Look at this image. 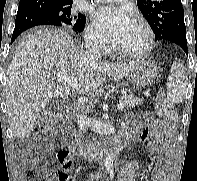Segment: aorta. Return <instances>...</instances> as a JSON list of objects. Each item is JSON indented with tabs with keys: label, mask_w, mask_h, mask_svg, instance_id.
Instances as JSON below:
<instances>
[{
	"label": "aorta",
	"mask_w": 197,
	"mask_h": 181,
	"mask_svg": "<svg viewBox=\"0 0 197 181\" xmlns=\"http://www.w3.org/2000/svg\"><path fill=\"white\" fill-rule=\"evenodd\" d=\"M112 168H113V156L112 153L109 150H107L104 159V169L107 173H109L111 172Z\"/></svg>",
	"instance_id": "obj_1"
}]
</instances>
